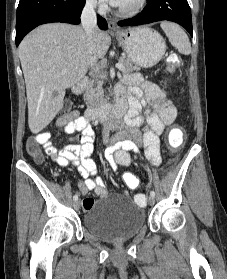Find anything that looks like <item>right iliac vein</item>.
Segmentation results:
<instances>
[{
	"mask_svg": "<svg viewBox=\"0 0 227 279\" xmlns=\"http://www.w3.org/2000/svg\"><path fill=\"white\" fill-rule=\"evenodd\" d=\"M73 205H74V208L76 210H78L80 208V206H81V203H80V201H75Z\"/></svg>",
	"mask_w": 227,
	"mask_h": 279,
	"instance_id": "right-iliac-vein-1",
	"label": "right iliac vein"
}]
</instances>
